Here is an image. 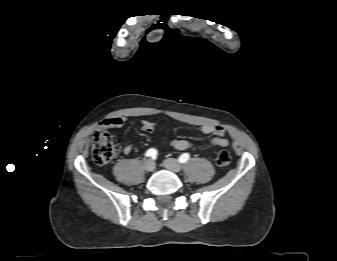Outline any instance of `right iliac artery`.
Listing matches in <instances>:
<instances>
[{
  "mask_svg": "<svg viewBox=\"0 0 337 261\" xmlns=\"http://www.w3.org/2000/svg\"><path fill=\"white\" fill-rule=\"evenodd\" d=\"M145 156L155 158L157 156V150L154 148H151L146 151Z\"/></svg>",
  "mask_w": 337,
  "mask_h": 261,
  "instance_id": "obj_1",
  "label": "right iliac artery"
}]
</instances>
